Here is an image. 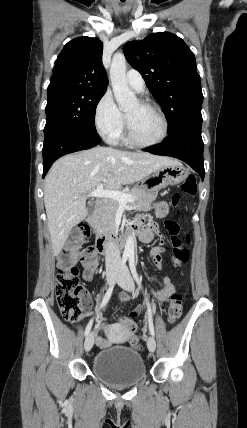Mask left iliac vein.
I'll return each mask as SVG.
<instances>
[{"instance_id":"4c4485c4","label":"left iliac vein","mask_w":247,"mask_h":428,"mask_svg":"<svg viewBox=\"0 0 247 428\" xmlns=\"http://www.w3.org/2000/svg\"><path fill=\"white\" fill-rule=\"evenodd\" d=\"M117 283L124 290L134 292L135 286L133 279L129 273V270L124 266L118 274ZM147 347L150 352H154L156 349V341L153 336H150L147 340Z\"/></svg>"}]
</instances>
